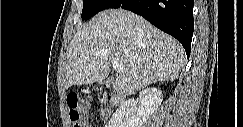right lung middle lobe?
Instances as JSON below:
<instances>
[{"instance_id": "dd1d6c3e", "label": "right lung middle lobe", "mask_w": 243, "mask_h": 127, "mask_svg": "<svg viewBox=\"0 0 243 127\" xmlns=\"http://www.w3.org/2000/svg\"><path fill=\"white\" fill-rule=\"evenodd\" d=\"M118 0H84L82 10V20H88L98 12L112 8Z\"/></svg>"}]
</instances>
